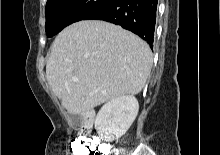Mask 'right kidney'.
<instances>
[{
    "mask_svg": "<svg viewBox=\"0 0 220 155\" xmlns=\"http://www.w3.org/2000/svg\"><path fill=\"white\" fill-rule=\"evenodd\" d=\"M139 110L134 96H121L102 106L95 119V129L105 141L123 136L132 125Z\"/></svg>",
    "mask_w": 220,
    "mask_h": 155,
    "instance_id": "1",
    "label": "right kidney"
}]
</instances>
